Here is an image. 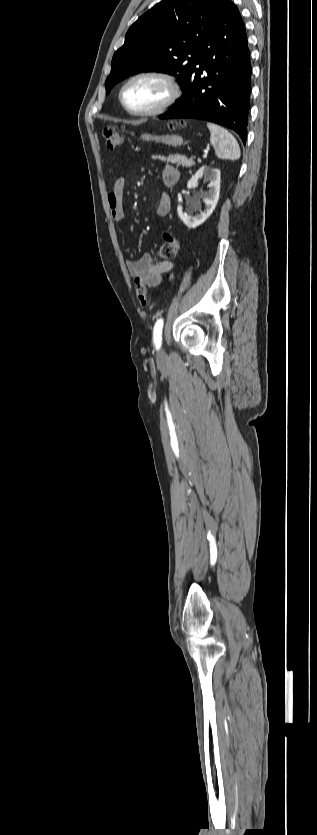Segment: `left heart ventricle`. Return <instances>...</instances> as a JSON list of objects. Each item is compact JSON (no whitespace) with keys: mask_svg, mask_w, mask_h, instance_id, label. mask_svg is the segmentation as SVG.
Masks as SVG:
<instances>
[{"mask_svg":"<svg viewBox=\"0 0 317 835\" xmlns=\"http://www.w3.org/2000/svg\"><path fill=\"white\" fill-rule=\"evenodd\" d=\"M167 95L165 86L153 78L135 80L127 86L123 98L127 106L136 111L156 107Z\"/></svg>","mask_w":317,"mask_h":835,"instance_id":"obj_1","label":"left heart ventricle"}]
</instances>
